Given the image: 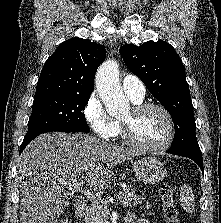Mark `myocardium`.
<instances>
[{"label": "myocardium", "mask_w": 221, "mask_h": 223, "mask_svg": "<svg viewBox=\"0 0 221 223\" xmlns=\"http://www.w3.org/2000/svg\"><path fill=\"white\" fill-rule=\"evenodd\" d=\"M149 109L158 110L165 116L168 123V134H167L166 139L161 144L156 145V146H150V145L139 143L132 136L131 122L124 121V120L120 121L121 138L128 146L136 150L144 151V152H160V151L166 150L173 143L175 139L176 130H175L173 116L166 107L158 103L141 102V103H136L132 108L133 113L135 115L140 114Z\"/></svg>", "instance_id": "1"}]
</instances>
